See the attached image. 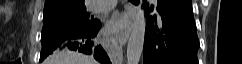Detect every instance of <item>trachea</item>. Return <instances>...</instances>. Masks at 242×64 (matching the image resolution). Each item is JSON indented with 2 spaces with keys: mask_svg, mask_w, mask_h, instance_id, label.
Returning <instances> with one entry per match:
<instances>
[{
  "mask_svg": "<svg viewBox=\"0 0 242 64\" xmlns=\"http://www.w3.org/2000/svg\"><path fill=\"white\" fill-rule=\"evenodd\" d=\"M131 2H139V0H130Z\"/></svg>",
  "mask_w": 242,
  "mask_h": 64,
  "instance_id": "trachea-1",
  "label": "trachea"
}]
</instances>
